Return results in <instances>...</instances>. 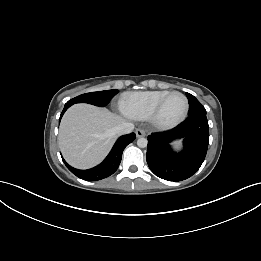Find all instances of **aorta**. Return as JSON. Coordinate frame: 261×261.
<instances>
[{"mask_svg": "<svg viewBox=\"0 0 261 261\" xmlns=\"http://www.w3.org/2000/svg\"><path fill=\"white\" fill-rule=\"evenodd\" d=\"M147 144H148V141H147L146 138H139V139L137 140V145H138V147H140V148H145V147L147 146Z\"/></svg>", "mask_w": 261, "mask_h": 261, "instance_id": "aorta-1", "label": "aorta"}]
</instances>
